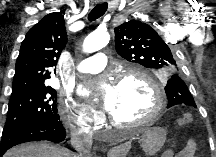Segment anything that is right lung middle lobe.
<instances>
[{
	"label": "right lung middle lobe",
	"instance_id": "dd1d6c3e",
	"mask_svg": "<svg viewBox=\"0 0 216 157\" xmlns=\"http://www.w3.org/2000/svg\"><path fill=\"white\" fill-rule=\"evenodd\" d=\"M57 92L50 86L26 89L11 95L3 134L37 122L59 120Z\"/></svg>",
	"mask_w": 216,
	"mask_h": 157
}]
</instances>
